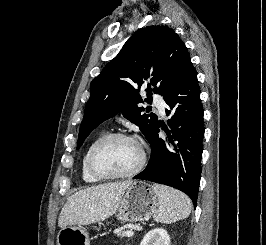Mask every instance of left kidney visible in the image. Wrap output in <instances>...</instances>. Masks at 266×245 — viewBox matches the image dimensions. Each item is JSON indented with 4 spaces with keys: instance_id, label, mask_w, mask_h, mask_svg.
Returning a JSON list of instances; mask_svg holds the SVG:
<instances>
[{
    "instance_id": "left-kidney-1",
    "label": "left kidney",
    "mask_w": 266,
    "mask_h": 245,
    "mask_svg": "<svg viewBox=\"0 0 266 245\" xmlns=\"http://www.w3.org/2000/svg\"><path fill=\"white\" fill-rule=\"evenodd\" d=\"M140 245H170V237L165 229H152L143 237Z\"/></svg>"
}]
</instances>
